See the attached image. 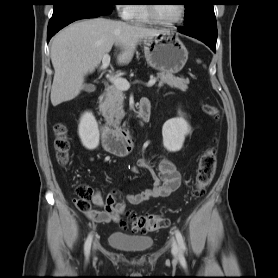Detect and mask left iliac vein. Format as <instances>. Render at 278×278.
<instances>
[{
    "label": "left iliac vein",
    "instance_id": "left-iliac-vein-1",
    "mask_svg": "<svg viewBox=\"0 0 278 278\" xmlns=\"http://www.w3.org/2000/svg\"><path fill=\"white\" fill-rule=\"evenodd\" d=\"M171 244H172V249H171L172 255L174 257V260L177 261L178 253H179V246L177 244V241L174 238H172Z\"/></svg>",
    "mask_w": 278,
    "mask_h": 278
}]
</instances>
